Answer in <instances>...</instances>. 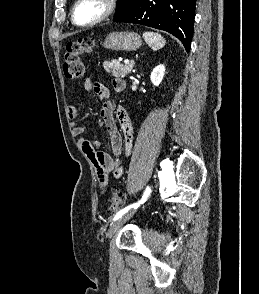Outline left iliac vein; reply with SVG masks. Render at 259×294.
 <instances>
[{"mask_svg": "<svg viewBox=\"0 0 259 294\" xmlns=\"http://www.w3.org/2000/svg\"><path fill=\"white\" fill-rule=\"evenodd\" d=\"M137 208L130 209L122 217L115 220L109 227L107 232V238H112L115 233L136 213Z\"/></svg>", "mask_w": 259, "mask_h": 294, "instance_id": "4c4485c4", "label": "left iliac vein"}]
</instances>
